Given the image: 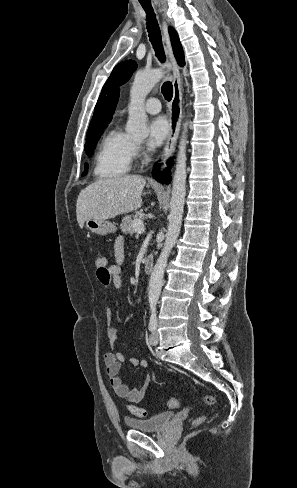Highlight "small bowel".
I'll use <instances>...</instances> for the list:
<instances>
[{"mask_svg": "<svg viewBox=\"0 0 297 488\" xmlns=\"http://www.w3.org/2000/svg\"><path fill=\"white\" fill-rule=\"evenodd\" d=\"M124 238L119 236L114 242V249L112 257H108V263L105 271L101 272L97 270V279L100 284L109 288L113 286L115 289H121L123 286V279L121 275V264L124 261ZM106 319L108 323L107 327V338L111 351L104 354V365L109 377V383L115 392V394L127 400L131 403H138L144 398L147 389L151 383V376L147 375L143 385L139 389H129V387L123 382L120 376V370L122 363L126 361L125 356L116 350V343L118 340V335L116 329L112 326V309L110 303L106 304ZM128 362L133 366H139L141 368H146L149 362L145 358L132 357L128 359Z\"/></svg>", "mask_w": 297, "mask_h": 488, "instance_id": "c3829d8e", "label": "small bowel"}]
</instances>
